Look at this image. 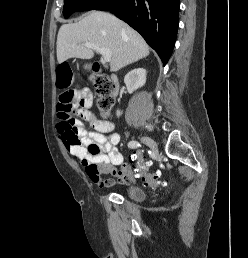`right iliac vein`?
<instances>
[{
  "label": "right iliac vein",
  "mask_w": 248,
  "mask_h": 258,
  "mask_svg": "<svg viewBox=\"0 0 248 258\" xmlns=\"http://www.w3.org/2000/svg\"><path fill=\"white\" fill-rule=\"evenodd\" d=\"M140 140H141L144 144H146L147 146H149V147L152 149V151H153L154 154H157V153H158V148H157L156 142H155L152 138H150V137H148V136H142V137H140Z\"/></svg>",
  "instance_id": "1"
}]
</instances>
